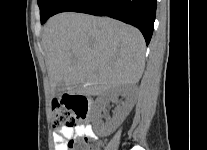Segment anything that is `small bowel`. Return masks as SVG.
<instances>
[{"instance_id": "1", "label": "small bowel", "mask_w": 207, "mask_h": 150, "mask_svg": "<svg viewBox=\"0 0 207 150\" xmlns=\"http://www.w3.org/2000/svg\"><path fill=\"white\" fill-rule=\"evenodd\" d=\"M84 137L87 139H96L93 127L89 124L79 125L76 127L63 126L53 133V141L55 143V150H65L66 142L74 138Z\"/></svg>"}]
</instances>
